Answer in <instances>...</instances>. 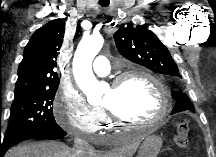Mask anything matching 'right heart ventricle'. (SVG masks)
Masks as SVG:
<instances>
[{
  "mask_svg": "<svg viewBox=\"0 0 216 157\" xmlns=\"http://www.w3.org/2000/svg\"><path fill=\"white\" fill-rule=\"evenodd\" d=\"M104 122H106V123H109V122H110L108 116H106V115H105V120H104Z\"/></svg>",
  "mask_w": 216,
  "mask_h": 157,
  "instance_id": "obj_1",
  "label": "right heart ventricle"
}]
</instances>
